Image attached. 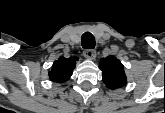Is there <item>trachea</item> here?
<instances>
[{"label": "trachea", "instance_id": "trachea-1", "mask_svg": "<svg viewBox=\"0 0 165 113\" xmlns=\"http://www.w3.org/2000/svg\"><path fill=\"white\" fill-rule=\"evenodd\" d=\"M81 45L83 48L93 49L95 47V38L90 32H86L81 37Z\"/></svg>", "mask_w": 165, "mask_h": 113}]
</instances>
